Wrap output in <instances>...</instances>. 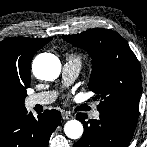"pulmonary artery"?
I'll use <instances>...</instances> for the list:
<instances>
[{"label": "pulmonary artery", "instance_id": "1", "mask_svg": "<svg viewBox=\"0 0 147 147\" xmlns=\"http://www.w3.org/2000/svg\"><path fill=\"white\" fill-rule=\"evenodd\" d=\"M81 69V62L75 58L67 59L62 69V78L64 85L71 84L78 76ZM57 97V93L54 91H45L30 95L26 99V106L33 108L36 105H46L52 103ZM100 116L98 110L93 111L92 117L97 119Z\"/></svg>", "mask_w": 147, "mask_h": 147}]
</instances>
